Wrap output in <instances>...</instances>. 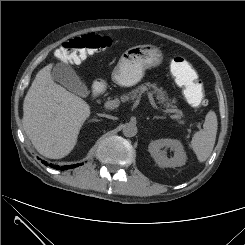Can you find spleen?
<instances>
[{
	"instance_id": "obj_1",
	"label": "spleen",
	"mask_w": 245,
	"mask_h": 245,
	"mask_svg": "<svg viewBox=\"0 0 245 245\" xmlns=\"http://www.w3.org/2000/svg\"><path fill=\"white\" fill-rule=\"evenodd\" d=\"M218 122L214 111H209L205 117L203 129L196 132L191 140V148L199 162H204L211 155L217 134Z\"/></svg>"
}]
</instances>
